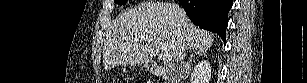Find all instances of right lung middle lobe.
<instances>
[{"label":"right lung middle lobe","mask_w":307,"mask_h":83,"mask_svg":"<svg viewBox=\"0 0 307 83\" xmlns=\"http://www.w3.org/2000/svg\"><path fill=\"white\" fill-rule=\"evenodd\" d=\"M115 3L118 5H125L127 3V0H116Z\"/></svg>","instance_id":"1"}]
</instances>
